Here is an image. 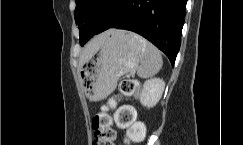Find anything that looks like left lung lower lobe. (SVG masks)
I'll use <instances>...</instances> for the list:
<instances>
[{
	"label": "left lung lower lobe",
	"instance_id": "left-lung-lower-lobe-1",
	"mask_svg": "<svg viewBox=\"0 0 243 145\" xmlns=\"http://www.w3.org/2000/svg\"><path fill=\"white\" fill-rule=\"evenodd\" d=\"M187 0H124L113 14L93 15L83 45L109 28L136 32L163 51L174 65L180 49ZM82 45V46H83Z\"/></svg>",
	"mask_w": 243,
	"mask_h": 145
}]
</instances>
